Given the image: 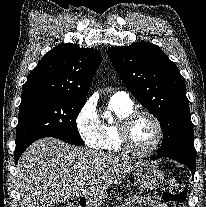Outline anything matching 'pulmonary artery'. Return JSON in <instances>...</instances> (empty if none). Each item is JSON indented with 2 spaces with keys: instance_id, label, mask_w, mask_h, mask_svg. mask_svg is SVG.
I'll return each mask as SVG.
<instances>
[{
  "instance_id": "obj_1",
  "label": "pulmonary artery",
  "mask_w": 206,
  "mask_h": 207,
  "mask_svg": "<svg viewBox=\"0 0 206 207\" xmlns=\"http://www.w3.org/2000/svg\"><path fill=\"white\" fill-rule=\"evenodd\" d=\"M113 98H116L120 101H123L125 103H132L131 100H130V97L129 95L124 92V91H118V92H115L113 95H112Z\"/></svg>"
}]
</instances>
